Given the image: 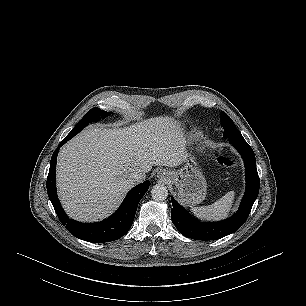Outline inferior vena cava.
Listing matches in <instances>:
<instances>
[{
	"instance_id": "602c4592",
	"label": "inferior vena cava",
	"mask_w": 306,
	"mask_h": 306,
	"mask_svg": "<svg viewBox=\"0 0 306 306\" xmlns=\"http://www.w3.org/2000/svg\"><path fill=\"white\" fill-rule=\"evenodd\" d=\"M146 175L145 172L141 169H135L129 174V180L132 183H138L145 179Z\"/></svg>"
}]
</instances>
